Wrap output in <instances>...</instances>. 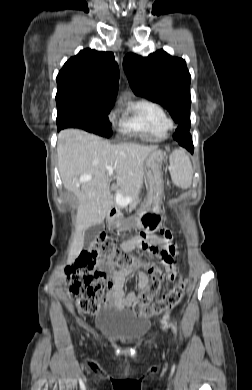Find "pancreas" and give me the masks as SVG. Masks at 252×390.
<instances>
[{
    "instance_id": "obj_1",
    "label": "pancreas",
    "mask_w": 252,
    "mask_h": 390,
    "mask_svg": "<svg viewBox=\"0 0 252 390\" xmlns=\"http://www.w3.org/2000/svg\"><path fill=\"white\" fill-rule=\"evenodd\" d=\"M116 204H117V206H119V204L117 203V201H116ZM140 205H141V202H140V201L132 202V203L130 204V206L127 207V210H128V211H131V210L138 211V210H139V207H138V206H140Z\"/></svg>"
}]
</instances>
